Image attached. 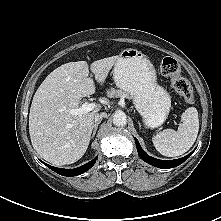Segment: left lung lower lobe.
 I'll return each mask as SVG.
<instances>
[{
    "label": "left lung lower lobe",
    "instance_id": "0a47b994",
    "mask_svg": "<svg viewBox=\"0 0 221 221\" xmlns=\"http://www.w3.org/2000/svg\"><path fill=\"white\" fill-rule=\"evenodd\" d=\"M135 139L136 142V147H137V151L138 154L140 156V158L145 161L146 163H149L155 167L158 168H173L176 167L180 164H182L184 161H186L194 151H192L190 154H188L187 156L180 158V159H176V160H159L153 157H150L149 155H147V153L141 148L139 141Z\"/></svg>",
    "mask_w": 221,
    "mask_h": 221
}]
</instances>
